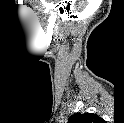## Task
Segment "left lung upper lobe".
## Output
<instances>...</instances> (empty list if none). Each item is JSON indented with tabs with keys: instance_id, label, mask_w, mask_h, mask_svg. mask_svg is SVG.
Returning <instances> with one entry per match:
<instances>
[{
	"instance_id": "left-lung-upper-lobe-1",
	"label": "left lung upper lobe",
	"mask_w": 124,
	"mask_h": 123,
	"mask_svg": "<svg viewBox=\"0 0 124 123\" xmlns=\"http://www.w3.org/2000/svg\"><path fill=\"white\" fill-rule=\"evenodd\" d=\"M100 117L93 113H76L70 116L68 123H97Z\"/></svg>"
}]
</instances>
